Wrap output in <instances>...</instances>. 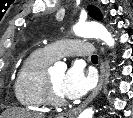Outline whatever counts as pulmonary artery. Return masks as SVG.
<instances>
[{
	"label": "pulmonary artery",
	"instance_id": "e3ab8cb5",
	"mask_svg": "<svg viewBox=\"0 0 133 118\" xmlns=\"http://www.w3.org/2000/svg\"><path fill=\"white\" fill-rule=\"evenodd\" d=\"M43 51L53 60L72 55L92 57L94 54L93 46L89 42L79 39L61 40L56 43L46 45L43 48Z\"/></svg>",
	"mask_w": 133,
	"mask_h": 118
}]
</instances>
